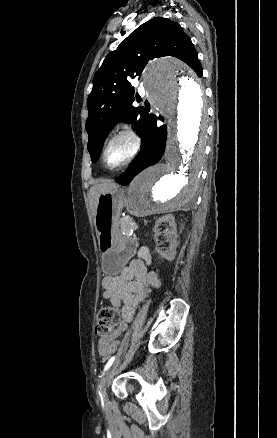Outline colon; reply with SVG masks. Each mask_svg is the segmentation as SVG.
Returning a JSON list of instances; mask_svg holds the SVG:
<instances>
[{
    "mask_svg": "<svg viewBox=\"0 0 277 438\" xmlns=\"http://www.w3.org/2000/svg\"><path fill=\"white\" fill-rule=\"evenodd\" d=\"M118 319V312L111 307H102L96 318L95 331L102 337L110 336Z\"/></svg>",
    "mask_w": 277,
    "mask_h": 438,
    "instance_id": "1",
    "label": "colon"
}]
</instances>
